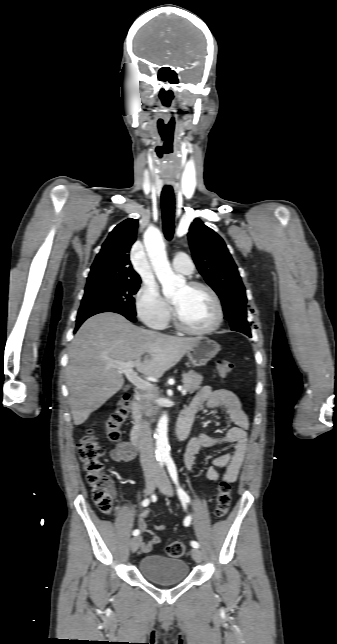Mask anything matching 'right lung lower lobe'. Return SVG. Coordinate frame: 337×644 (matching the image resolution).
<instances>
[{
  "label": "right lung lower lobe",
  "mask_w": 337,
  "mask_h": 644,
  "mask_svg": "<svg viewBox=\"0 0 337 644\" xmlns=\"http://www.w3.org/2000/svg\"><path fill=\"white\" fill-rule=\"evenodd\" d=\"M115 313H119V314H121V315L125 316L128 320H130V321H132V322H136V318H135V316H133V315H130V314H127V313H124V312H115ZM86 319H87V318L82 319V320H78V321H77L75 331H77V329L80 327V325H81V324H82Z\"/></svg>",
  "instance_id": "right-lung-lower-lobe-1"
}]
</instances>
